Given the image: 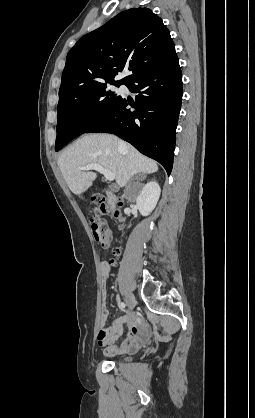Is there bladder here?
<instances>
[{
    "instance_id": "31cf9c89",
    "label": "bladder",
    "mask_w": 255,
    "mask_h": 418,
    "mask_svg": "<svg viewBox=\"0 0 255 418\" xmlns=\"http://www.w3.org/2000/svg\"><path fill=\"white\" fill-rule=\"evenodd\" d=\"M128 359H129L128 357L123 358V360H128Z\"/></svg>"
}]
</instances>
